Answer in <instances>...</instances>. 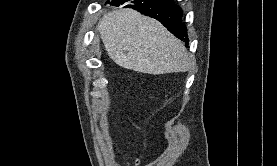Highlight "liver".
Wrapping results in <instances>:
<instances>
[{"mask_svg":"<svg viewBox=\"0 0 277 166\" xmlns=\"http://www.w3.org/2000/svg\"><path fill=\"white\" fill-rule=\"evenodd\" d=\"M98 31L109 57L119 66L159 75L190 66L183 43L158 21L133 9L105 14Z\"/></svg>","mask_w":277,"mask_h":166,"instance_id":"1","label":"liver"}]
</instances>
